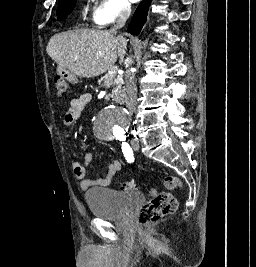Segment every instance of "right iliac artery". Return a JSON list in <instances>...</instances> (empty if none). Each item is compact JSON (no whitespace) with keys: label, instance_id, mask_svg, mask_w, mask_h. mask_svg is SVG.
Returning a JSON list of instances; mask_svg holds the SVG:
<instances>
[{"label":"right iliac artery","instance_id":"1","mask_svg":"<svg viewBox=\"0 0 256 267\" xmlns=\"http://www.w3.org/2000/svg\"><path fill=\"white\" fill-rule=\"evenodd\" d=\"M120 140H125V137H123V138H120Z\"/></svg>","mask_w":256,"mask_h":267}]
</instances>
